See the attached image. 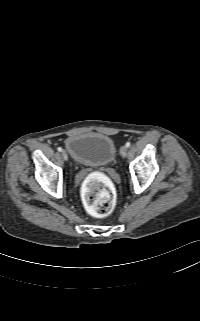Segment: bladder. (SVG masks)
Instances as JSON below:
<instances>
[{
    "mask_svg": "<svg viewBox=\"0 0 200 321\" xmlns=\"http://www.w3.org/2000/svg\"><path fill=\"white\" fill-rule=\"evenodd\" d=\"M65 148L76 163L85 166L107 165L116 155L114 141L107 135L95 132L70 136Z\"/></svg>",
    "mask_w": 200,
    "mask_h": 321,
    "instance_id": "bladder-1",
    "label": "bladder"
}]
</instances>
